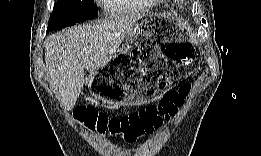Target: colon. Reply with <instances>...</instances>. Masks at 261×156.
Returning <instances> with one entry per match:
<instances>
[{
    "instance_id": "obj_1",
    "label": "colon",
    "mask_w": 261,
    "mask_h": 156,
    "mask_svg": "<svg viewBox=\"0 0 261 156\" xmlns=\"http://www.w3.org/2000/svg\"><path fill=\"white\" fill-rule=\"evenodd\" d=\"M190 89L191 85L186 83L179 89L166 93L158 104L149 105L123 116L109 117L94 108L84 107L75 112V117L99 134L119 136L128 143H134L175 116Z\"/></svg>"
}]
</instances>
